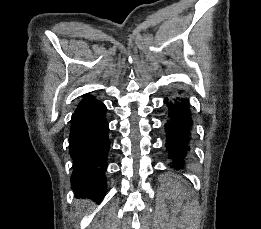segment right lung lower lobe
Here are the masks:
<instances>
[{"label": "right lung lower lobe", "mask_w": 261, "mask_h": 229, "mask_svg": "<svg viewBox=\"0 0 261 229\" xmlns=\"http://www.w3.org/2000/svg\"><path fill=\"white\" fill-rule=\"evenodd\" d=\"M106 110L103 103L86 95L71 118V186L80 197L102 200L106 194L105 170L110 149Z\"/></svg>", "instance_id": "obj_1"}]
</instances>
